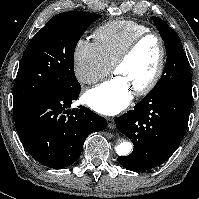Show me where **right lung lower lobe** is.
Instances as JSON below:
<instances>
[{"mask_svg": "<svg viewBox=\"0 0 199 199\" xmlns=\"http://www.w3.org/2000/svg\"><path fill=\"white\" fill-rule=\"evenodd\" d=\"M79 93L46 96L13 113L20 140L39 163L55 169L71 165L87 136L106 128V119L90 109H69Z\"/></svg>", "mask_w": 199, "mask_h": 199, "instance_id": "1", "label": "right lung lower lobe"}]
</instances>
